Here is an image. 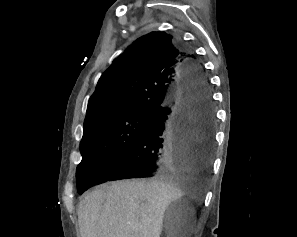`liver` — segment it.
Returning <instances> with one entry per match:
<instances>
[{"label": "liver", "instance_id": "liver-1", "mask_svg": "<svg viewBox=\"0 0 297 237\" xmlns=\"http://www.w3.org/2000/svg\"><path fill=\"white\" fill-rule=\"evenodd\" d=\"M187 191L190 178L179 175L101 185L79 203L81 237H160L167 207Z\"/></svg>", "mask_w": 297, "mask_h": 237}]
</instances>
